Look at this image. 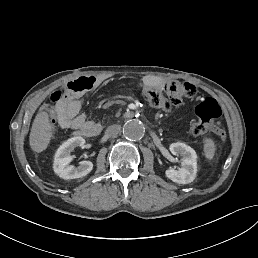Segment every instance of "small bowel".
<instances>
[{
  "mask_svg": "<svg viewBox=\"0 0 258 258\" xmlns=\"http://www.w3.org/2000/svg\"><path fill=\"white\" fill-rule=\"evenodd\" d=\"M105 79L95 75L82 76L69 81L71 89L56 106V119L61 128L80 131L86 136H96L101 126L81 112L84 97L99 88Z\"/></svg>",
  "mask_w": 258,
  "mask_h": 258,
  "instance_id": "1",
  "label": "small bowel"
}]
</instances>
